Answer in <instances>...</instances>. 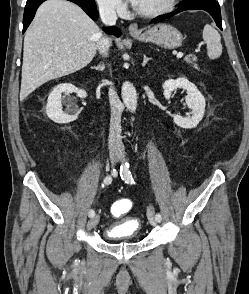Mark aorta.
<instances>
[{
    "mask_svg": "<svg viewBox=\"0 0 249 294\" xmlns=\"http://www.w3.org/2000/svg\"><path fill=\"white\" fill-rule=\"evenodd\" d=\"M123 102L130 112H135L137 108V93L136 89L128 81H125L121 88Z\"/></svg>",
    "mask_w": 249,
    "mask_h": 294,
    "instance_id": "762f6f07",
    "label": "aorta"
}]
</instances>
